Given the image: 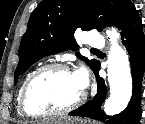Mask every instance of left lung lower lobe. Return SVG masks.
I'll use <instances>...</instances> for the list:
<instances>
[{
	"mask_svg": "<svg viewBox=\"0 0 145 124\" xmlns=\"http://www.w3.org/2000/svg\"><path fill=\"white\" fill-rule=\"evenodd\" d=\"M121 30L122 43L126 47L131 64L133 80L132 98L126 109L117 116H107L101 106L105 100L107 88L105 81L99 77L100 63L95 71L98 81L96 96L87 104L71 111V116H86L106 124H140L141 110V84L145 71V36L142 31V20L131 6L117 26Z\"/></svg>",
	"mask_w": 145,
	"mask_h": 124,
	"instance_id": "1",
	"label": "left lung lower lobe"
}]
</instances>
